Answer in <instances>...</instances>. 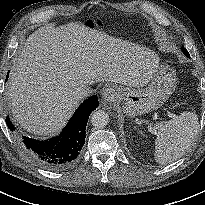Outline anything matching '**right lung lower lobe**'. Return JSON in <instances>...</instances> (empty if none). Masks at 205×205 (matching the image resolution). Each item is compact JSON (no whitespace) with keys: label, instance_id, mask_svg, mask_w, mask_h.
Returning a JSON list of instances; mask_svg holds the SVG:
<instances>
[{"label":"right lung lower lobe","instance_id":"98d812e1","mask_svg":"<svg viewBox=\"0 0 205 205\" xmlns=\"http://www.w3.org/2000/svg\"><path fill=\"white\" fill-rule=\"evenodd\" d=\"M98 105L97 96L88 98L75 111L57 137L46 141L23 137L22 145L27 155L36 164L48 170L59 171L71 167L77 161L85 143V129L89 115ZM6 124L11 131H15L9 116L6 117Z\"/></svg>","mask_w":205,"mask_h":205}]
</instances>
